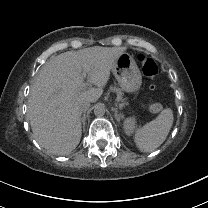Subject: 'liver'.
Returning a JSON list of instances; mask_svg holds the SVG:
<instances>
[{
  "instance_id": "6515ba94",
  "label": "liver",
  "mask_w": 208,
  "mask_h": 208,
  "mask_svg": "<svg viewBox=\"0 0 208 208\" xmlns=\"http://www.w3.org/2000/svg\"><path fill=\"white\" fill-rule=\"evenodd\" d=\"M125 47H90L67 51L46 62L35 78L27 117L35 140L52 154L65 155L80 142V98L96 102L103 93L110 70ZM82 71L97 86L82 91Z\"/></svg>"
}]
</instances>
